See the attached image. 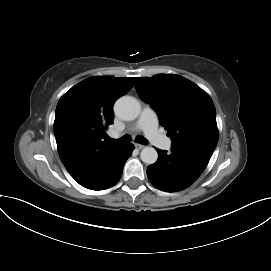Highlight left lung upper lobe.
I'll return each instance as SVG.
<instances>
[{
	"mask_svg": "<svg viewBox=\"0 0 271 271\" xmlns=\"http://www.w3.org/2000/svg\"><path fill=\"white\" fill-rule=\"evenodd\" d=\"M141 99L157 112L171 137L172 150L210 159L218 142L216 110L210 96L190 80L174 74L135 78Z\"/></svg>",
	"mask_w": 271,
	"mask_h": 271,
	"instance_id": "1",
	"label": "left lung upper lobe"
}]
</instances>
